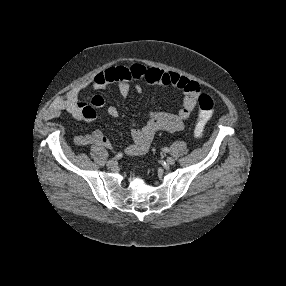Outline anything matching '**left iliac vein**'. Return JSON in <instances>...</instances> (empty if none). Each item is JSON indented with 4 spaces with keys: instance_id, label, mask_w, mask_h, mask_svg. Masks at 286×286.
I'll list each match as a JSON object with an SVG mask.
<instances>
[{
    "instance_id": "obj_1",
    "label": "left iliac vein",
    "mask_w": 286,
    "mask_h": 286,
    "mask_svg": "<svg viewBox=\"0 0 286 286\" xmlns=\"http://www.w3.org/2000/svg\"><path fill=\"white\" fill-rule=\"evenodd\" d=\"M166 162H167L168 165H173L175 163V159L172 158V157H168L166 159Z\"/></svg>"
}]
</instances>
